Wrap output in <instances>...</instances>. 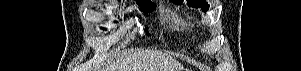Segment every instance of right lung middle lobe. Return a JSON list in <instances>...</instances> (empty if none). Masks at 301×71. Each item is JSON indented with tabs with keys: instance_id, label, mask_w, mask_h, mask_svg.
<instances>
[{
	"instance_id": "right-lung-middle-lobe-1",
	"label": "right lung middle lobe",
	"mask_w": 301,
	"mask_h": 71,
	"mask_svg": "<svg viewBox=\"0 0 301 71\" xmlns=\"http://www.w3.org/2000/svg\"><path fill=\"white\" fill-rule=\"evenodd\" d=\"M141 10L145 13L151 12L155 9L156 5L155 4H141L138 3Z\"/></svg>"
}]
</instances>
